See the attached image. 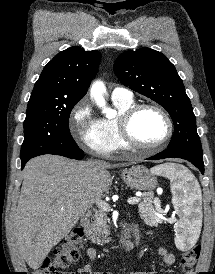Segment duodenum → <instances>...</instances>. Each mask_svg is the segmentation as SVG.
Listing matches in <instances>:
<instances>
[{"label": "duodenum", "mask_w": 215, "mask_h": 274, "mask_svg": "<svg viewBox=\"0 0 215 274\" xmlns=\"http://www.w3.org/2000/svg\"><path fill=\"white\" fill-rule=\"evenodd\" d=\"M90 215L88 213H85L81 216L80 218V225L83 229H85L89 223ZM133 241L130 237V235H126L122 243L120 244V249L124 252L127 253L130 251L132 248Z\"/></svg>", "instance_id": "duodenum-1"}]
</instances>
